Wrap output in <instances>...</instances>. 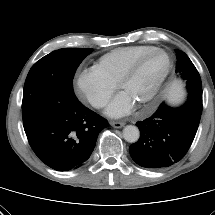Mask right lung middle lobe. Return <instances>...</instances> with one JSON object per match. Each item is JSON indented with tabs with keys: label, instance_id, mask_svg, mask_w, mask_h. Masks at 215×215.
I'll use <instances>...</instances> for the list:
<instances>
[{
	"label": "right lung middle lobe",
	"instance_id": "obj_1",
	"mask_svg": "<svg viewBox=\"0 0 215 215\" xmlns=\"http://www.w3.org/2000/svg\"><path fill=\"white\" fill-rule=\"evenodd\" d=\"M92 50L59 49L32 66L25 81L22 101L25 131L64 106L80 102L74 94L72 79L79 64Z\"/></svg>",
	"mask_w": 215,
	"mask_h": 215
}]
</instances>
